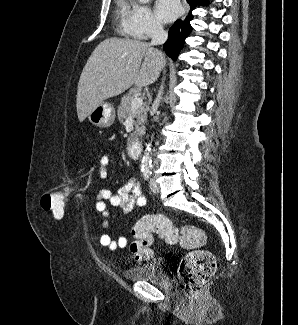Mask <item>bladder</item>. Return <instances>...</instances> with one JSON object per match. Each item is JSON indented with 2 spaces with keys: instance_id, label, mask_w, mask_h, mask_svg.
I'll return each instance as SVG.
<instances>
[{
  "instance_id": "obj_1",
  "label": "bladder",
  "mask_w": 298,
  "mask_h": 325,
  "mask_svg": "<svg viewBox=\"0 0 298 325\" xmlns=\"http://www.w3.org/2000/svg\"><path fill=\"white\" fill-rule=\"evenodd\" d=\"M123 276L129 281L148 282L164 289L173 287L171 278L165 273L162 263L158 260L126 269Z\"/></svg>"
}]
</instances>
